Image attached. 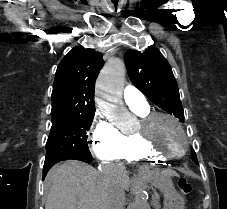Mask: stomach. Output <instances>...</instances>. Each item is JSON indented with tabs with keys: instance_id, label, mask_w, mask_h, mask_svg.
<instances>
[{
	"instance_id": "0dacf381",
	"label": "stomach",
	"mask_w": 227,
	"mask_h": 209,
	"mask_svg": "<svg viewBox=\"0 0 227 209\" xmlns=\"http://www.w3.org/2000/svg\"><path fill=\"white\" fill-rule=\"evenodd\" d=\"M147 180L164 194V209H184V199L175 189L169 176L153 171Z\"/></svg>"
}]
</instances>
